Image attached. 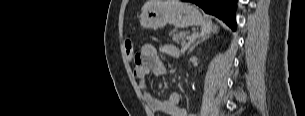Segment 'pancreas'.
<instances>
[{
    "instance_id": "pancreas-1",
    "label": "pancreas",
    "mask_w": 305,
    "mask_h": 116,
    "mask_svg": "<svg viewBox=\"0 0 305 116\" xmlns=\"http://www.w3.org/2000/svg\"><path fill=\"white\" fill-rule=\"evenodd\" d=\"M170 35L172 36L173 41L181 43L182 51H185L187 49L188 44H186V41L188 40L187 39L188 37H191V36H189V34L184 33V32L177 33L176 30H174L170 33Z\"/></svg>"
}]
</instances>
